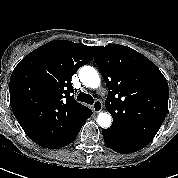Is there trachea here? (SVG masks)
I'll return each instance as SVG.
<instances>
[{"instance_id":"1","label":"trachea","mask_w":178,"mask_h":178,"mask_svg":"<svg viewBox=\"0 0 178 178\" xmlns=\"http://www.w3.org/2000/svg\"><path fill=\"white\" fill-rule=\"evenodd\" d=\"M77 100L81 102H85L90 105H92L94 102L93 97L91 95L83 93V92L78 94Z\"/></svg>"}]
</instances>
